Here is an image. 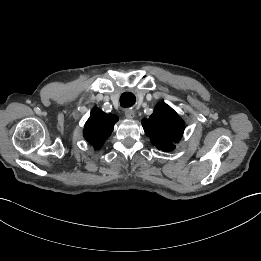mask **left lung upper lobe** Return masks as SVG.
Listing matches in <instances>:
<instances>
[{"label": "left lung upper lobe", "instance_id": "1", "mask_svg": "<svg viewBox=\"0 0 261 261\" xmlns=\"http://www.w3.org/2000/svg\"><path fill=\"white\" fill-rule=\"evenodd\" d=\"M142 125L151 142L163 151H171L184 132V122L178 114L164 103L158 104L149 119Z\"/></svg>", "mask_w": 261, "mask_h": 261}]
</instances>
